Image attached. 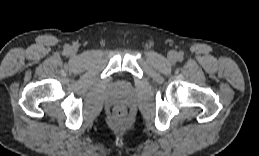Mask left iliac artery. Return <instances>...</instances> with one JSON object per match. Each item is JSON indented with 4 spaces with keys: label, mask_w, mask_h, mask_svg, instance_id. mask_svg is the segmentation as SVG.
I'll use <instances>...</instances> for the list:
<instances>
[{
    "label": "left iliac artery",
    "mask_w": 259,
    "mask_h": 156,
    "mask_svg": "<svg viewBox=\"0 0 259 156\" xmlns=\"http://www.w3.org/2000/svg\"><path fill=\"white\" fill-rule=\"evenodd\" d=\"M178 59H179V60H182V54H179V55H178Z\"/></svg>",
    "instance_id": "obj_1"
}]
</instances>
